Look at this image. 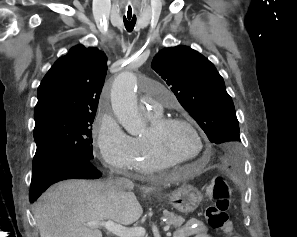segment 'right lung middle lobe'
I'll use <instances>...</instances> for the list:
<instances>
[{
  "instance_id": "dd1d6c3e",
  "label": "right lung middle lobe",
  "mask_w": 297,
  "mask_h": 237,
  "mask_svg": "<svg viewBox=\"0 0 297 237\" xmlns=\"http://www.w3.org/2000/svg\"><path fill=\"white\" fill-rule=\"evenodd\" d=\"M95 114L86 116L55 115L35 123L37 150L33 172L37 174L48 161L61 156L93 158L92 123Z\"/></svg>"
}]
</instances>
